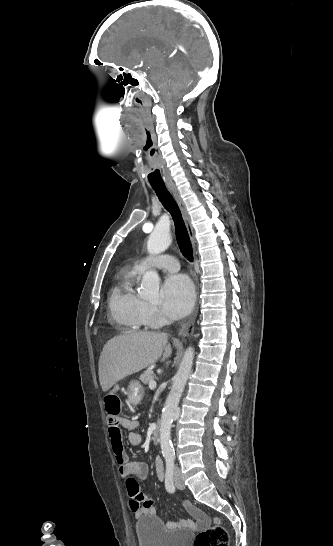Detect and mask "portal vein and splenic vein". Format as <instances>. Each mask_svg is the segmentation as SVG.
Wrapping results in <instances>:
<instances>
[{
  "instance_id": "obj_1",
  "label": "portal vein and splenic vein",
  "mask_w": 333,
  "mask_h": 546,
  "mask_svg": "<svg viewBox=\"0 0 333 546\" xmlns=\"http://www.w3.org/2000/svg\"><path fill=\"white\" fill-rule=\"evenodd\" d=\"M149 388L150 389L156 388V382L154 380L150 381Z\"/></svg>"
}]
</instances>
